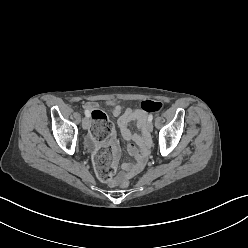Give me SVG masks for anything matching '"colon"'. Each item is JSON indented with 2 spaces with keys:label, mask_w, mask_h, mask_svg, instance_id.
Masks as SVG:
<instances>
[{
  "label": "colon",
  "mask_w": 248,
  "mask_h": 248,
  "mask_svg": "<svg viewBox=\"0 0 248 248\" xmlns=\"http://www.w3.org/2000/svg\"><path fill=\"white\" fill-rule=\"evenodd\" d=\"M163 108L164 104L161 101L144 100L140 103V109L146 113L160 112ZM90 116L93 122L92 134L94 135L96 143L100 145L94 154V165L101 179L113 180L117 160L113 159L112 149L106 144L110 142L111 136L116 133V128L108 119L107 115L99 109L91 111ZM119 185L121 188H128L129 182L127 178L121 177L119 179Z\"/></svg>",
  "instance_id": "1"
}]
</instances>
